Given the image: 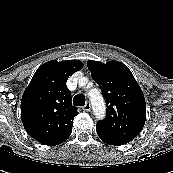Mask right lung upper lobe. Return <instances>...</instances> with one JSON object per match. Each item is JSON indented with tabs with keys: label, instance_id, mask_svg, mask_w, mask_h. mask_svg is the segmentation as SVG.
Returning <instances> with one entry per match:
<instances>
[{
	"label": "right lung upper lobe",
	"instance_id": "1",
	"mask_svg": "<svg viewBox=\"0 0 173 173\" xmlns=\"http://www.w3.org/2000/svg\"><path fill=\"white\" fill-rule=\"evenodd\" d=\"M78 60L49 61L35 72L21 101V120L27 133L44 145H57L72 131L78 114L66 81L82 69Z\"/></svg>",
	"mask_w": 173,
	"mask_h": 173
}]
</instances>
